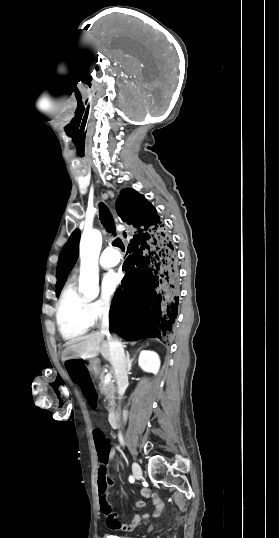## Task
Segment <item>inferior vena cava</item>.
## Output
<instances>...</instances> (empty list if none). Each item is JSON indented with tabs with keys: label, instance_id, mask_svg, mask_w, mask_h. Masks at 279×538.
I'll list each match as a JSON object with an SVG mask.
<instances>
[{
	"label": "inferior vena cava",
	"instance_id": "obj_1",
	"mask_svg": "<svg viewBox=\"0 0 279 538\" xmlns=\"http://www.w3.org/2000/svg\"><path fill=\"white\" fill-rule=\"evenodd\" d=\"M108 312L109 310H100L98 314L99 318L102 321L101 334L106 335V338H108L110 341L109 343L110 356H111V359L113 360L112 365L114 367L115 375L118 380V383H117L119 385L118 392L119 394L122 395L124 394V391L126 389L125 386L126 385L128 386V376L126 372V364L128 363V361H123L125 355H124V350L122 347L123 342L121 343V339L120 340L118 339L119 335H110L109 333ZM119 440L123 444V436H121V434H119Z\"/></svg>",
	"mask_w": 279,
	"mask_h": 538
}]
</instances>
